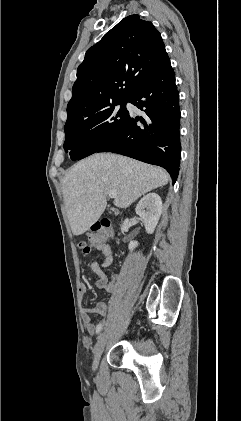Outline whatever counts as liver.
<instances>
[{
  "label": "liver",
  "instance_id": "6515ba94",
  "mask_svg": "<svg viewBox=\"0 0 241 421\" xmlns=\"http://www.w3.org/2000/svg\"><path fill=\"white\" fill-rule=\"evenodd\" d=\"M168 181L163 169L117 154L96 153L81 160L68 170L62 182L73 234H83L101 217L110 191L117 194L114 205L127 208Z\"/></svg>",
  "mask_w": 241,
  "mask_h": 421
}]
</instances>
